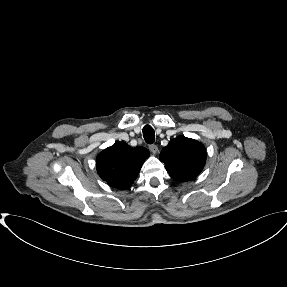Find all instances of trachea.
Segmentation results:
<instances>
[{"label": "trachea", "instance_id": "trachea-1", "mask_svg": "<svg viewBox=\"0 0 287 287\" xmlns=\"http://www.w3.org/2000/svg\"><path fill=\"white\" fill-rule=\"evenodd\" d=\"M143 137L147 144H152L155 141L154 129L150 125H145L143 127Z\"/></svg>", "mask_w": 287, "mask_h": 287}]
</instances>
